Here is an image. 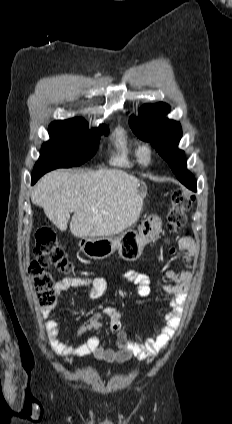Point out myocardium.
Masks as SVG:
<instances>
[{
	"mask_svg": "<svg viewBox=\"0 0 232 424\" xmlns=\"http://www.w3.org/2000/svg\"><path fill=\"white\" fill-rule=\"evenodd\" d=\"M139 157L143 164H148L152 158V150L148 145L140 147Z\"/></svg>",
	"mask_w": 232,
	"mask_h": 424,
	"instance_id": "obj_1",
	"label": "myocardium"
}]
</instances>
